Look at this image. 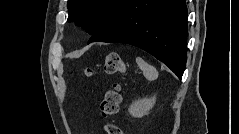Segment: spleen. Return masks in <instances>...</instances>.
Wrapping results in <instances>:
<instances>
[{
	"instance_id": "spleen-1",
	"label": "spleen",
	"mask_w": 239,
	"mask_h": 134,
	"mask_svg": "<svg viewBox=\"0 0 239 134\" xmlns=\"http://www.w3.org/2000/svg\"><path fill=\"white\" fill-rule=\"evenodd\" d=\"M136 63L139 66V68L142 70L143 75L147 80H155L158 77V72L157 70L148 64L146 61H144L142 58L137 57L136 58Z\"/></svg>"
}]
</instances>
